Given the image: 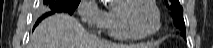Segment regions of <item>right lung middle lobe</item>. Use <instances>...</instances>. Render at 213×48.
I'll return each mask as SVG.
<instances>
[{
	"label": "right lung middle lobe",
	"instance_id": "obj_1",
	"mask_svg": "<svg viewBox=\"0 0 213 48\" xmlns=\"http://www.w3.org/2000/svg\"><path fill=\"white\" fill-rule=\"evenodd\" d=\"M79 3H80V0H44V5L46 7V10L52 13L67 12L69 14H72L74 10L76 9V7L79 5Z\"/></svg>",
	"mask_w": 213,
	"mask_h": 48
}]
</instances>
